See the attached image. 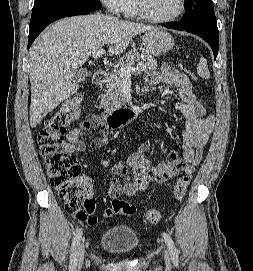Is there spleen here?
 Instances as JSON below:
<instances>
[{"label":"spleen","mask_w":253,"mask_h":271,"mask_svg":"<svg viewBox=\"0 0 253 271\" xmlns=\"http://www.w3.org/2000/svg\"><path fill=\"white\" fill-rule=\"evenodd\" d=\"M197 73L200 77L204 79L210 78V72L208 69L207 61L204 57H200V61L197 67Z\"/></svg>","instance_id":"obj_1"}]
</instances>
